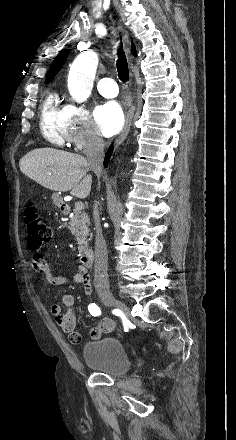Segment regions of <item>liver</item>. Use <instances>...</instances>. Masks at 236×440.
Listing matches in <instances>:
<instances>
[{
	"mask_svg": "<svg viewBox=\"0 0 236 440\" xmlns=\"http://www.w3.org/2000/svg\"><path fill=\"white\" fill-rule=\"evenodd\" d=\"M20 170L27 177L52 191H71L86 198L92 185L88 160L78 154L53 148H39L20 159Z\"/></svg>",
	"mask_w": 236,
	"mask_h": 440,
	"instance_id": "liver-1",
	"label": "liver"
}]
</instances>
